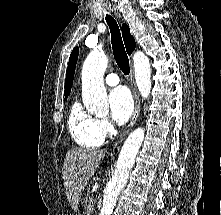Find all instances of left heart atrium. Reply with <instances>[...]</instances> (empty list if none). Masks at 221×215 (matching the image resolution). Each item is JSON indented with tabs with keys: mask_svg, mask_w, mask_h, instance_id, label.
Masks as SVG:
<instances>
[{
	"mask_svg": "<svg viewBox=\"0 0 221 215\" xmlns=\"http://www.w3.org/2000/svg\"><path fill=\"white\" fill-rule=\"evenodd\" d=\"M110 111L113 120L119 125L125 124L134 109L133 99L126 87H117L109 96Z\"/></svg>",
	"mask_w": 221,
	"mask_h": 215,
	"instance_id": "1",
	"label": "left heart atrium"
}]
</instances>
